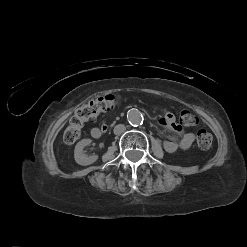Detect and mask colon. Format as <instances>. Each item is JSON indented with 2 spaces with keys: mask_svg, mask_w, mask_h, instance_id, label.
Instances as JSON below:
<instances>
[{
  "mask_svg": "<svg viewBox=\"0 0 247 247\" xmlns=\"http://www.w3.org/2000/svg\"><path fill=\"white\" fill-rule=\"evenodd\" d=\"M119 103V98L109 94L99 98L90 100L80 106L71 117L68 126L66 127L63 140L70 145L75 143L81 135L83 125L96 118L99 114L115 108ZM179 124L182 127H192L197 124V118L189 110L183 109L179 114ZM213 143L212 135L200 130L197 133V145L202 150H208Z\"/></svg>",
  "mask_w": 247,
  "mask_h": 247,
  "instance_id": "obj_1",
  "label": "colon"
}]
</instances>
